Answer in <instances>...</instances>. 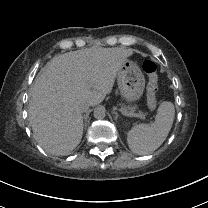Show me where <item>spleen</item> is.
Segmentation results:
<instances>
[{"label":"spleen","mask_w":208,"mask_h":208,"mask_svg":"<svg viewBox=\"0 0 208 208\" xmlns=\"http://www.w3.org/2000/svg\"><path fill=\"white\" fill-rule=\"evenodd\" d=\"M175 108L171 101H162L152 124L135 125L127 132L131 152L147 155L157 150L167 138L172 127Z\"/></svg>","instance_id":"1"}]
</instances>
